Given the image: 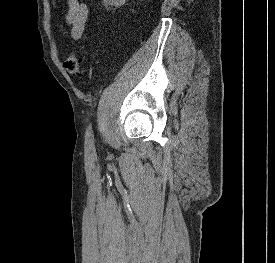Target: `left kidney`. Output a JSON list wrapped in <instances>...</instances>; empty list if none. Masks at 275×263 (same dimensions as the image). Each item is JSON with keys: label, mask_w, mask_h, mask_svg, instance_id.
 <instances>
[{"label": "left kidney", "mask_w": 275, "mask_h": 263, "mask_svg": "<svg viewBox=\"0 0 275 263\" xmlns=\"http://www.w3.org/2000/svg\"><path fill=\"white\" fill-rule=\"evenodd\" d=\"M126 0H104V2L108 5H113V6H121L125 3Z\"/></svg>", "instance_id": "1"}]
</instances>
